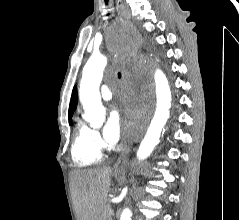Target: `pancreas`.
<instances>
[{
    "instance_id": "pancreas-1",
    "label": "pancreas",
    "mask_w": 239,
    "mask_h": 220,
    "mask_svg": "<svg viewBox=\"0 0 239 220\" xmlns=\"http://www.w3.org/2000/svg\"><path fill=\"white\" fill-rule=\"evenodd\" d=\"M111 207L107 205L102 213V220H112V211Z\"/></svg>"
}]
</instances>
